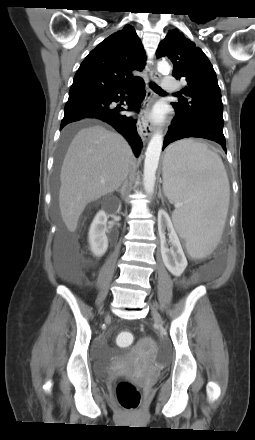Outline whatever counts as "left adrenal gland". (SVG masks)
I'll list each match as a JSON object with an SVG mask.
<instances>
[{
    "label": "left adrenal gland",
    "mask_w": 255,
    "mask_h": 440,
    "mask_svg": "<svg viewBox=\"0 0 255 440\" xmlns=\"http://www.w3.org/2000/svg\"><path fill=\"white\" fill-rule=\"evenodd\" d=\"M162 202H164V199H163V197H162Z\"/></svg>",
    "instance_id": "a2214340"
}]
</instances>
